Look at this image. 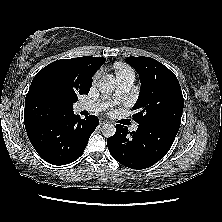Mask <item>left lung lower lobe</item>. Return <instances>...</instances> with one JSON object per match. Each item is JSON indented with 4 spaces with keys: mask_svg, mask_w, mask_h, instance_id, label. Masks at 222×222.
Returning a JSON list of instances; mask_svg holds the SVG:
<instances>
[{
    "mask_svg": "<svg viewBox=\"0 0 222 222\" xmlns=\"http://www.w3.org/2000/svg\"><path fill=\"white\" fill-rule=\"evenodd\" d=\"M180 125L170 122L139 124L129 132L116 125L115 134L107 139L108 149L120 164L132 169H145L162 159L172 146Z\"/></svg>",
    "mask_w": 222,
    "mask_h": 222,
    "instance_id": "left-lung-lower-lobe-1",
    "label": "left lung lower lobe"
}]
</instances>
